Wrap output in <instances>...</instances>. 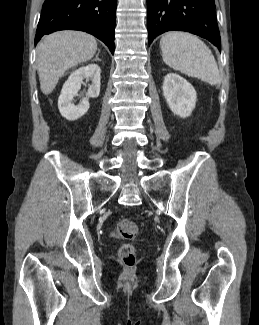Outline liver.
Instances as JSON below:
<instances>
[{
	"mask_svg": "<svg viewBox=\"0 0 259 325\" xmlns=\"http://www.w3.org/2000/svg\"><path fill=\"white\" fill-rule=\"evenodd\" d=\"M97 42L80 31H58L46 36L37 46L38 75L41 91L48 95L69 68L90 60Z\"/></svg>",
	"mask_w": 259,
	"mask_h": 325,
	"instance_id": "obj_1",
	"label": "liver"
}]
</instances>
